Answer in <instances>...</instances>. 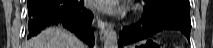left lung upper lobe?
Segmentation results:
<instances>
[{
	"label": "left lung upper lobe",
	"mask_w": 213,
	"mask_h": 48,
	"mask_svg": "<svg viewBox=\"0 0 213 48\" xmlns=\"http://www.w3.org/2000/svg\"><path fill=\"white\" fill-rule=\"evenodd\" d=\"M145 2L155 3V4L161 3V2H172L178 5H181L183 7L190 8L189 0H145Z\"/></svg>",
	"instance_id": "1"
}]
</instances>
